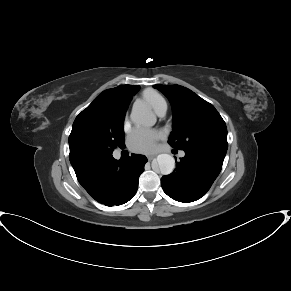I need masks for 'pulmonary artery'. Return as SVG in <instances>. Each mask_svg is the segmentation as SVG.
<instances>
[{
    "instance_id": "e3ab8cb5",
    "label": "pulmonary artery",
    "mask_w": 291,
    "mask_h": 291,
    "mask_svg": "<svg viewBox=\"0 0 291 291\" xmlns=\"http://www.w3.org/2000/svg\"><path fill=\"white\" fill-rule=\"evenodd\" d=\"M166 111H167V105H164L163 107H161L159 109V111L157 113H158L159 116H164L166 114ZM183 155H184V153L181 152L180 156H183Z\"/></svg>"
}]
</instances>
